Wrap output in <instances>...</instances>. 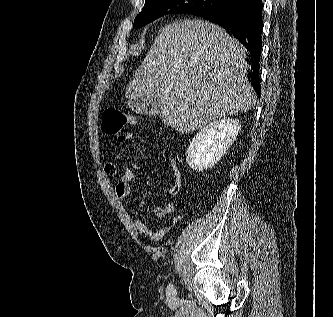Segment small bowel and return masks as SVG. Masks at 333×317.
Listing matches in <instances>:
<instances>
[{
  "label": "small bowel",
  "mask_w": 333,
  "mask_h": 317,
  "mask_svg": "<svg viewBox=\"0 0 333 317\" xmlns=\"http://www.w3.org/2000/svg\"><path fill=\"white\" fill-rule=\"evenodd\" d=\"M131 138H132L131 133H125L119 135L118 141L126 142L129 141ZM102 163H103V169L107 174L115 175L117 173V166L106 154L103 155ZM172 166L174 173V182L169 188H167L166 193L172 197H176L180 190L181 178H180V172L178 171L176 165L173 164ZM133 176H134L133 169L128 165L125 166L116 184V195L120 199L127 200L130 197L131 195L130 182ZM179 211H180V204L176 199L167 203L165 207L157 208L155 210V214L157 217L161 218L166 215H172V220L167 226L156 230L149 228L142 220L134 217L133 215H131V219L138 233L146 236L152 242H157L161 240L164 236H166L168 232L171 230V228L177 223Z\"/></svg>",
  "instance_id": "1"
}]
</instances>
